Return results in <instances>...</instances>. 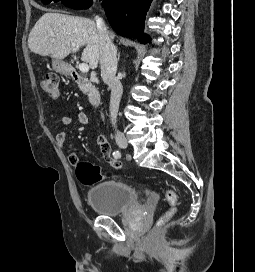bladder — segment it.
Returning <instances> with one entry per match:
<instances>
[{
    "label": "bladder",
    "instance_id": "1",
    "mask_svg": "<svg viewBox=\"0 0 255 272\" xmlns=\"http://www.w3.org/2000/svg\"><path fill=\"white\" fill-rule=\"evenodd\" d=\"M86 199L97 214L109 217L123 215L139 202L136 189L119 181L94 186L87 192Z\"/></svg>",
    "mask_w": 255,
    "mask_h": 272
}]
</instances>
